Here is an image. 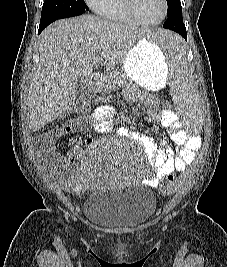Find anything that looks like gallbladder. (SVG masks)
<instances>
[{
    "label": "gallbladder",
    "instance_id": "obj_1",
    "mask_svg": "<svg viewBox=\"0 0 227 267\" xmlns=\"http://www.w3.org/2000/svg\"><path fill=\"white\" fill-rule=\"evenodd\" d=\"M86 87H87V83L83 79H78L76 81V90L78 94L83 93Z\"/></svg>",
    "mask_w": 227,
    "mask_h": 267
}]
</instances>
